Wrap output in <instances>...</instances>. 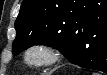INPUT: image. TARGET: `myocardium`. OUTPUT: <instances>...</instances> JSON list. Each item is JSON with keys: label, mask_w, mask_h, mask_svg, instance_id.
Instances as JSON below:
<instances>
[{"label": "myocardium", "mask_w": 107, "mask_h": 75, "mask_svg": "<svg viewBox=\"0 0 107 75\" xmlns=\"http://www.w3.org/2000/svg\"><path fill=\"white\" fill-rule=\"evenodd\" d=\"M24 63L32 68H42L57 63L61 52L53 45L37 42L26 47L22 54Z\"/></svg>", "instance_id": "myocardium-1"}]
</instances>
